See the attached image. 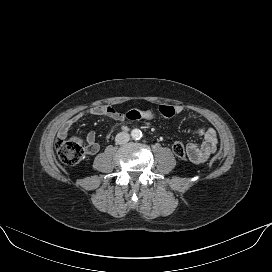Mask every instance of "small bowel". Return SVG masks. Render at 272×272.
Segmentation results:
<instances>
[{"instance_id": "c3829d8e", "label": "small bowel", "mask_w": 272, "mask_h": 272, "mask_svg": "<svg viewBox=\"0 0 272 272\" xmlns=\"http://www.w3.org/2000/svg\"><path fill=\"white\" fill-rule=\"evenodd\" d=\"M176 113L181 114L184 108L180 105L175 107ZM86 115L93 116H107L116 121H123L126 119V114L119 112L117 109L110 105H98L88 110L79 112L60 124L58 137L60 139H67L69 137V131L74 124L83 119ZM197 135L202 137L201 143H189L186 146V153L188 158L194 163H203L210 155H212L217 149V132L211 127H201L197 130ZM73 140L84 142L87 145V152L89 154H95L99 150V144L96 141V136L93 131L88 132L84 139L73 137Z\"/></svg>"}]
</instances>
